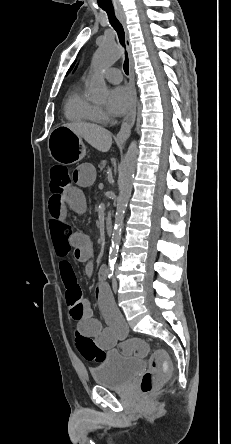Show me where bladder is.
<instances>
[{
  "label": "bladder",
  "mask_w": 231,
  "mask_h": 444,
  "mask_svg": "<svg viewBox=\"0 0 231 444\" xmlns=\"http://www.w3.org/2000/svg\"><path fill=\"white\" fill-rule=\"evenodd\" d=\"M143 368L142 359L126 357L120 350H111L105 354L98 366L92 368L91 373L97 385L109 389H121Z\"/></svg>",
  "instance_id": "1"
}]
</instances>
